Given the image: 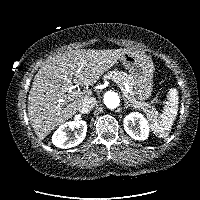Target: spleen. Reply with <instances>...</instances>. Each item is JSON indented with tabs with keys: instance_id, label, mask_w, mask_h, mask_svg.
<instances>
[{
	"instance_id": "spleen-1",
	"label": "spleen",
	"mask_w": 200,
	"mask_h": 200,
	"mask_svg": "<svg viewBox=\"0 0 200 200\" xmlns=\"http://www.w3.org/2000/svg\"><path fill=\"white\" fill-rule=\"evenodd\" d=\"M178 91L171 88L168 92V100L160 117L151 120L152 131L160 138H166L173 126L178 112Z\"/></svg>"
}]
</instances>
